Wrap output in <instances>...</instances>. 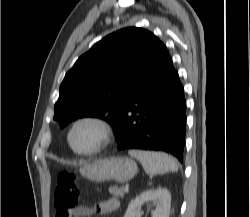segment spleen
<instances>
[{"instance_id": "3e777b00", "label": "spleen", "mask_w": 250, "mask_h": 217, "mask_svg": "<svg viewBox=\"0 0 250 217\" xmlns=\"http://www.w3.org/2000/svg\"><path fill=\"white\" fill-rule=\"evenodd\" d=\"M129 155L139 160L144 170L149 174H164L178 170L177 161L163 152L144 150H129Z\"/></svg>"}]
</instances>
